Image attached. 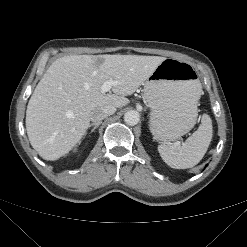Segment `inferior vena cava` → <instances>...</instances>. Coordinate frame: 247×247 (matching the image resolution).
<instances>
[{"label":"inferior vena cava","mask_w":247,"mask_h":247,"mask_svg":"<svg viewBox=\"0 0 247 247\" xmlns=\"http://www.w3.org/2000/svg\"><path fill=\"white\" fill-rule=\"evenodd\" d=\"M116 112L114 106H108L104 109H97L91 112L90 120L94 123H101L107 116L113 115Z\"/></svg>","instance_id":"obj_1"}]
</instances>
